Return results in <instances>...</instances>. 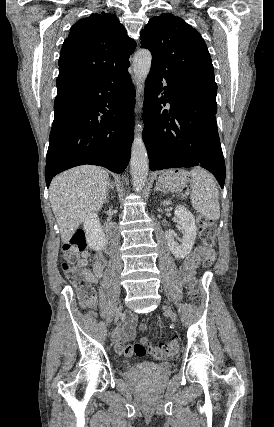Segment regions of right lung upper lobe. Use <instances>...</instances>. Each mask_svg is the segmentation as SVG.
Instances as JSON below:
<instances>
[{
  "mask_svg": "<svg viewBox=\"0 0 274 427\" xmlns=\"http://www.w3.org/2000/svg\"><path fill=\"white\" fill-rule=\"evenodd\" d=\"M135 47V41L113 14L93 13L77 21L60 52L55 101L82 93L124 72Z\"/></svg>",
  "mask_w": 274,
  "mask_h": 427,
  "instance_id": "obj_1",
  "label": "right lung upper lobe"
}]
</instances>
